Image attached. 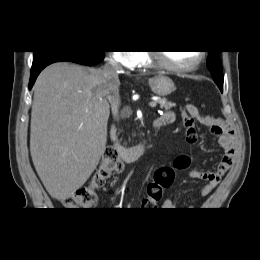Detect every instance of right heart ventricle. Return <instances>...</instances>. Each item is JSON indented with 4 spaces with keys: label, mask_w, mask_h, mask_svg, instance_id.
I'll return each instance as SVG.
<instances>
[{
    "label": "right heart ventricle",
    "mask_w": 260,
    "mask_h": 260,
    "mask_svg": "<svg viewBox=\"0 0 260 260\" xmlns=\"http://www.w3.org/2000/svg\"><path fill=\"white\" fill-rule=\"evenodd\" d=\"M142 62L144 64H150V61H149V59L146 56L143 57Z\"/></svg>",
    "instance_id": "obj_1"
}]
</instances>
